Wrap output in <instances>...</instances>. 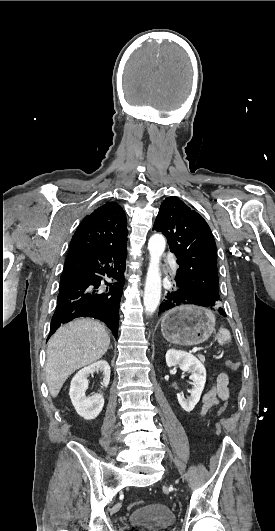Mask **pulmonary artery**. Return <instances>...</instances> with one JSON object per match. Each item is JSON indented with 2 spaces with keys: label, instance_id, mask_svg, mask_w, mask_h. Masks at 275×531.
<instances>
[{
  "label": "pulmonary artery",
  "instance_id": "obj_1",
  "mask_svg": "<svg viewBox=\"0 0 275 531\" xmlns=\"http://www.w3.org/2000/svg\"><path fill=\"white\" fill-rule=\"evenodd\" d=\"M167 261L169 262V267H170V268H169V271H170V273H172V274L177 273L178 268H179V266H180L179 261L176 260V259H174L172 256H169V257L167 258Z\"/></svg>",
  "mask_w": 275,
  "mask_h": 531
}]
</instances>
